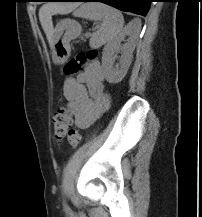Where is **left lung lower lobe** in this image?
Returning a JSON list of instances; mask_svg holds the SVG:
<instances>
[{"mask_svg": "<svg viewBox=\"0 0 202 217\" xmlns=\"http://www.w3.org/2000/svg\"><path fill=\"white\" fill-rule=\"evenodd\" d=\"M54 2H102L122 11L145 16L152 0H52Z\"/></svg>", "mask_w": 202, "mask_h": 217, "instance_id": "1", "label": "left lung lower lobe"}]
</instances>
